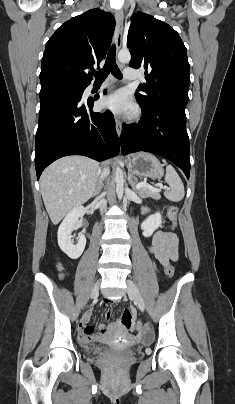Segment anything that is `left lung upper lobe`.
Here are the masks:
<instances>
[{
    "label": "left lung upper lobe",
    "instance_id": "5c2ea615",
    "mask_svg": "<svg viewBox=\"0 0 235 404\" xmlns=\"http://www.w3.org/2000/svg\"><path fill=\"white\" fill-rule=\"evenodd\" d=\"M127 46L130 67L144 68L147 83L135 93L142 107L159 103H188L189 63L178 33L168 24L145 13L132 17Z\"/></svg>",
    "mask_w": 235,
    "mask_h": 404
}]
</instances>
